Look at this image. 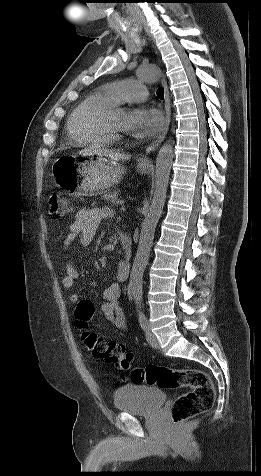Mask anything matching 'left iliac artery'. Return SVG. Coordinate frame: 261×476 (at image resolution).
<instances>
[{
    "mask_svg": "<svg viewBox=\"0 0 261 476\" xmlns=\"http://www.w3.org/2000/svg\"><path fill=\"white\" fill-rule=\"evenodd\" d=\"M138 319H139V323H140V326L143 330L146 329L147 325H148V320H147V317L145 316L144 312L142 311L141 307H138Z\"/></svg>",
    "mask_w": 261,
    "mask_h": 476,
    "instance_id": "44dca946",
    "label": "left iliac artery"
}]
</instances>
